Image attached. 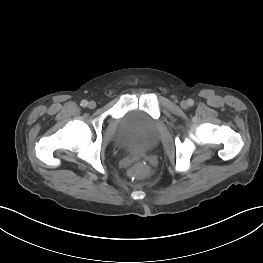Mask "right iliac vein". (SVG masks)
<instances>
[{
  "label": "right iliac vein",
  "mask_w": 263,
  "mask_h": 263,
  "mask_svg": "<svg viewBox=\"0 0 263 263\" xmlns=\"http://www.w3.org/2000/svg\"><path fill=\"white\" fill-rule=\"evenodd\" d=\"M95 107H96V103H95L94 101H90V102L88 103V108L93 109V108H95Z\"/></svg>",
  "instance_id": "63e3f726"
}]
</instances>
